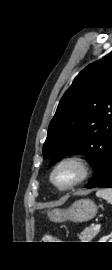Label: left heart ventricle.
Listing matches in <instances>:
<instances>
[{"mask_svg": "<svg viewBox=\"0 0 112 270\" xmlns=\"http://www.w3.org/2000/svg\"><path fill=\"white\" fill-rule=\"evenodd\" d=\"M78 176V170L74 166H65L55 175L57 184L64 186L72 182Z\"/></svg>", "mask_w": 112, "mask_h": 270, "instance_id": "obj_1", "label": "left heart ventricle"}]
</instances>
